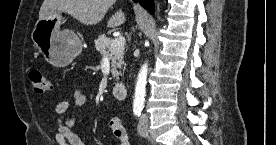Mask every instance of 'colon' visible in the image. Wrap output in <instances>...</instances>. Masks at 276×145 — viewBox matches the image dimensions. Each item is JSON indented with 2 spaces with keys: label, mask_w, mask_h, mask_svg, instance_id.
Listing matches in <instances>:
<instances>
[{
  "label": "colon",
  "mask_w": 276,
  "mask_h": 145,
  "mask_svg": "<svg viewBox=\"0 0 276 145\" xmlns=\"http://www.w3.org/2000/svg\"><path fill=\"white\" fill-rule=\"evenodd\" d=\"M32 90L36 94H44L51 90V83L40 69H32L29 72Z\"/></svg>",
  "instance_id": "colon-1"
}]
</instances>
